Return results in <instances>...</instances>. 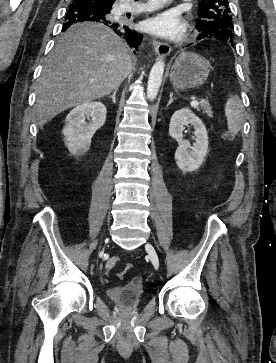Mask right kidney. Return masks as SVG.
Returning <instances> with one entry per match:
<instances>
[{"instance_id":"ca27d5eb","label":"right kidney","mask_w":276,"mask_h":363,"mask_svg":"<svg viewBox=\"0 0 276 363\" xmlns=\"http://www.w3.org/2000/svg\"><path fill=\"white\" fill-rule=\"evenodd\" d=\"M107 109L101 102H87L76 106L66 117L62 133L69 152L74 156L85 154L94 133L104 125ZM89 120V123L85 119Z\"/></svg>"}]
</instances>
